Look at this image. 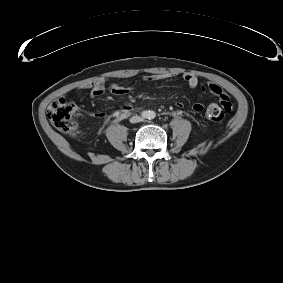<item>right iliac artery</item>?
<instances>
[{
    "mask_svg": "<svg viewBox=\"0 0 283 283\" xmlns=\"http://www.w3.org/2000/svg\"><path fill=\"white\" fill-rule=\"evenodd\" d=\"M142 116L144 117V118H146L147 117V112H142Z\"/></svg>",
    "mask_w": 283,
    "mask_h": 283,
    "instance_id": "1",
    "label": "right iliac artery"
}]
</instances>
